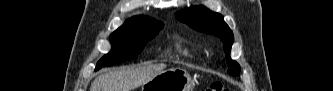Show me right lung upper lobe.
Returning a JSON list of instances; mask_svg holds the SVG:
<instances>
[{
    "label": "right lung upper lobe",
    "mask_w": 333,
    "mask_h": 91,
    "mask_svg": "<svg viewBox=\"0 0 333 91\" xmlns=\"http://www.w3.org/2000/svg\"><path fill=\"white\" fill-rule=\"evenodd\" d=\"M153 20L154 19H151L149 17L136 16V17H132V18L128 19L124 24L132 23V22H149V21H153Z\"/></svg>",
    "instance_id": "cb5924a9"
}]
</instances>
